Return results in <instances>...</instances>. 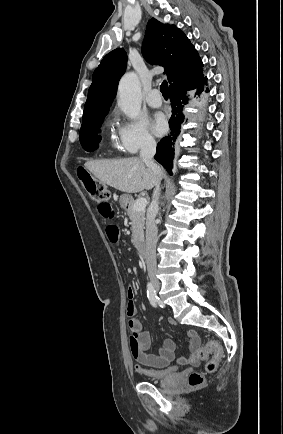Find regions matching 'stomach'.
I'll return each instance as SVG.
<instances>
[{
	"label": "stomach",
	"instance_id": "stomach-1",
	"mask_svg": "<svg viewBox=\"0 0 283 434\" xmlns=\"http://www.w3.org/2000/svg\"><path fill=\"white\" fill-rule=\"evenodd\" d=\"M120 205L123 208H126L129 204L133 202L132 196L129 194H123L119 199Z\"/></svg>",
	"mask_w": 283,
	"mask_h": 434
}]
</instances>
